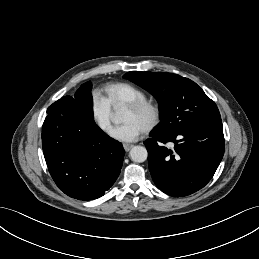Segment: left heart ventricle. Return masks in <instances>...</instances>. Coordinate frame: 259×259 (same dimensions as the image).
Instances as JSON below:
<instances>
[{"label": "left heart ventricle", "instance_id": "obj_1", "mask_svg": "<svg viewBox=\"0 0 259 259\" xmlns=\"http://www.w3.org/2000/svg\"><path fill=\"white\" fill-rule=\"evenodd\" d=\"M152 114L148 110L141 112H130L127 110H122L120 114V119L122 121H131L143 129L151 121Z\"/></svg>", "mask_w": 259, "mask_h": 259}]
</instances>
